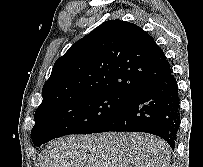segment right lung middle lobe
<instances>
[{
    "label": "right lung middle lobe",
    "instance_id": "obj_1",
    "mask_svg": "<svg viewBox=\"0 0 203 167\" xmlns=\"http://www.w3.org/2000/svg\"><path fill=\"white\" fill-rule=\"evenodd\" d=\"M129 99L114 93L74 97L35 112L32 141L41 146L70 134H90L115 114Z\"/></svg>",
    "mask_w": 203,
    "mask_h": 167
}]
</instances>
